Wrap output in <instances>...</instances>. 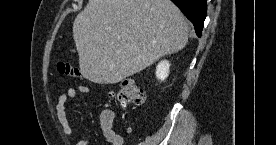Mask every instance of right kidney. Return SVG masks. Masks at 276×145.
<instances>
[{
    "mask_svg": "<svg viewBox=\"0 0 276 145\" xmlns=\"http://www.w3.org/2000/svg\"><path fill=\"white\" fill-rule=\"evenodd\" d=\"M169 67L170 64L168 61L163 60L159 62V64L156 67V77L159 80L164 81L169 75Z\"/></svg>",
    "mask_w": 276,
    "mask_h": 145,
    "instance_id": "1",
    "label": "right kidney"
}]
</instances>
